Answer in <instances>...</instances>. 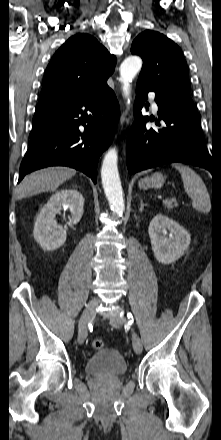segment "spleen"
<instances>
[{"label":"spleen","mask_w":221,"mask_h":440,"mask_svg":"<svg viewBox=\"0 0 221 440\" xmlns=\"http://www.w3.org/2000/svg\"><path fill=\"white\" fill-rule=\"evenodd\" d=\"M181 174L183 186L192 199V207L202 213H209L211 200L207 188L201 177L190 167L182 164H173Z\"/></svg>","instance_id":"spleen-1"}]
</instances>
